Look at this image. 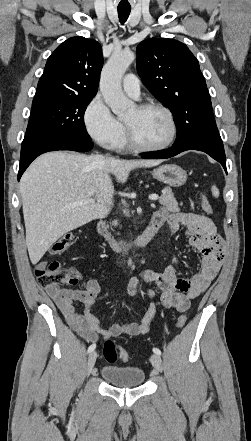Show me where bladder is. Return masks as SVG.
Listing matches in <instances>:
<instances>
[{"mask_svg": "<svg viewBox=\"0 0 251 441\" xmlns=\"http://www.w3.org/2000/svg\"><path fill=\"white\" fill-rule=\"evenodd\" d=\"M100 373L104 381L120 388L137 387L145 381V372L138 367L105 365Z\"/></svg>", "mask_w": 251, "mask_h": 441, "instance_id": "obj_1", "label": "bladder"}]
</instances>
